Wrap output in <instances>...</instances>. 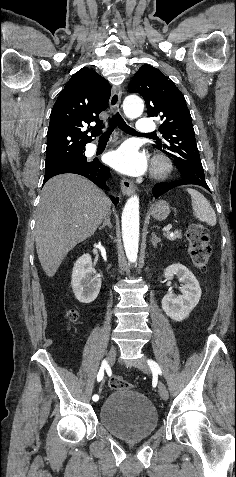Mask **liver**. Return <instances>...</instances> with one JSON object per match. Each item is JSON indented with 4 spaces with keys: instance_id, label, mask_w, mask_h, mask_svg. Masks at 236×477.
I'll list each match as a JSON object with an SVG mask.
<instances>
[{
    "instance_id": "1",
    "label": "liver",
    "mask_w": 236,
    "mask_h": 477,
    "mask_svg": "<svg viewBox=\"0 0 236 477\" xmlns=\"http://www.w3.org/2000/svg\"><path fill=\"white\" fill-rule=\"evenodd\" d=\"M110 209L108 196L82 176L61 174L46 182L37 208L35 243L48 277L70 250L95 233Z\"/></svg>"
}]
</instances>
